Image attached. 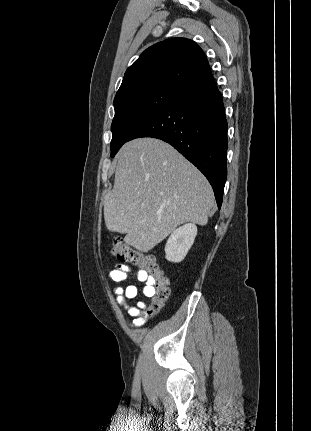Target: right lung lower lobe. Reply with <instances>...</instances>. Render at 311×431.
Segmentation results:
<instances>
[{
    "label": "right lung lower lobe",
    "instance_id": "98d812e1",
    "mask_svg": "<svg viewBox=\"0 0 311 431\" xmlns=\"http://www.w3.org/2000/svg\"><path fill=\"white\" fill-rule=\"evenodd\" d=\"M227 121L216 83L190 90L138 126L129 140L161 139L193 163L213 187L220 209L227 177Z\"/></svg>",
    "mask_w": 311,
    "mask_h": 431
}]
</instances>
